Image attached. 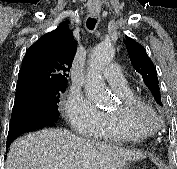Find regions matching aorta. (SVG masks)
I'll return each instance as SVG.
<instances>
[{
  "mask_svg": "<svg viewBox=\"0 0 177 169\" xmlns=\"http://www.w3.org/2000/svg\"><path fill=\"white\" fill-rule=\"evenodd\" d=\"M114 55L115 50L109 44L97 45L91 53L86 74L85 92L98 106H107L111 102V97L102 78V71L110 64Z\"/></svg>",
  "mask_w": 177,
  "mask_h": 169,
  "instance_id": "aorta-1",
  "label": "aorta"
}]
</instances>
